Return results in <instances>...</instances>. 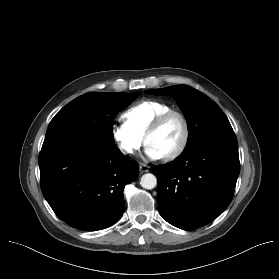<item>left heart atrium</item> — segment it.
I'll use <instances>...</instances> for the list:
<instances>
[{
  "mask_svg": "<svg viewBox=\"0 0 279 279\" xmlns=\"http://www.w3.org/2000/svg\"><path fill=\"white\" fill-rule=\"evenodd\" d=\"M146 155L151 159H160L162 158V155L152 146L147 145L146 146Z\"/></svg>",
  "mask_w": 279,
  "mask_h": 279,
  "instance_id": "1",
  "label": "left heart atrium"
}]
</instances>
